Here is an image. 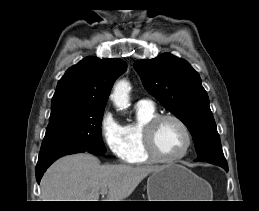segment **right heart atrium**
I'll use <instances>...</instances> for the list:
<instances>
[{"instance_id":"obj_1","label":"right heart atrium","mask_w":259,"mask_h":211,"mask_svg":"<svg viewBox=\"0 0 259 211\" xmlns=\"http://www.w3.org/2000/svg\"><path fill=\"white\" fill-rule=\"evenodd\" d=\"M101 138L113 156L123 158L124 141L122 126L119 124L111 111L106 110L99 122Z\"/></svg>"}]
</instances>
